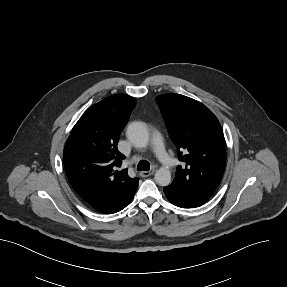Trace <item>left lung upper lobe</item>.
I'll list each match as a JSON object with an SVG mask.
<instances>
[{
    "mask_svg": "<svg viewBox=\"0 0 287 287\" xmlns=\"http://www.w3.org/2000/svg\"><path fill=\"white\" fill-rule=\"evenodd\" d=\"M156 101L183 162L170 185L209 198L225 169V142L218 119L202 103L183 95L164 94Z\"/></svg>",
    "mask_w": 287,
    "mask_h": 287,
    "instance_id": "1",
    "label": "left lung upper lobe"
}]
</instances>
